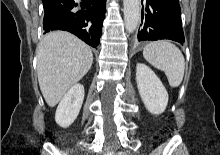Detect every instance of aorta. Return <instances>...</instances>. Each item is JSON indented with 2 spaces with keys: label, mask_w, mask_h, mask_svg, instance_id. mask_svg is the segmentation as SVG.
Instances as JSON below:
<instances>
[{
  "label": "aorta",
  "mask_w": 220,
  "mask_h": 155,
  "mask_svg": "<svg viewBox=\"0 0 220 155\" xmlns=\"http://www.w3.org/2000/svg\"><path fill=\"white\" fill-rule=\"evenodd\" d=\"M124 23L128 33H132L140 20V0H123Z\"/></svg>",
  "instance_id": "762f6f07"
}]
</instances>
